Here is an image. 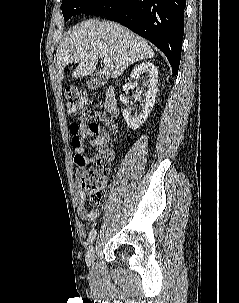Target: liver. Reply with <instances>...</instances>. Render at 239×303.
<instances>
[{"label": "liver", "instance_id": "liver-1", "mask_svg": "<svg viewBox=\"0 0 239 303\" xmlns=\"http://www.w3.org/2000/svg\"><path fill=\"white\" fill-rule=\"evenodd\" d=\"M154 57L147 41L126 27L97 19L74 26L60 43L56 51L59 79H64L67 65L78 63L73 77L92 74L98 59L109 58L103 74L118 78L130 65Z\"/></svg>", "mask_w": 239, "mask_h": 303}]
</instances>
